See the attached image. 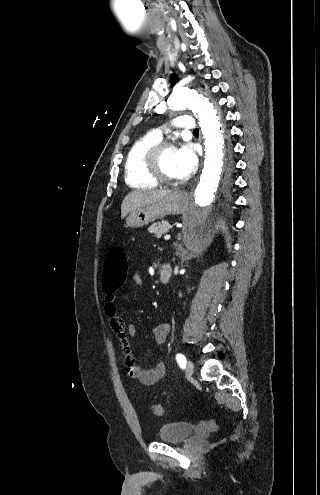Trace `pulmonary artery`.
I'll return each mask as SVG.
<instances>
[{"instance_id":"obj_1","label":"pulmonary artery","mask_w":320,"mask_h":495,"mask_svg":"<svg viewBox=\"0 0 320 495\" xmlns=\"http://www.w3.org/2000/svg\"><path fill=\"white\" fill-rule=\"evenodd\" d=\"M173 124L179 128V129H182V130H185V131H190L192 129H194L195 127V123H194V120L192 119V117L190 116H187V115H183V116H178V117H175L173 119ZM152 134L157 138V139H161L162 138V130L161 129H155L152 131Z\"/></svg>"}]
</instances>
